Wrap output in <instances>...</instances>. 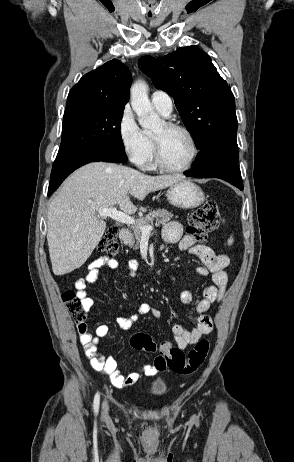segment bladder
Here are the masks:
<instances>
[{
  "label": "bladder",
  "instance_id": "bladder-1",
  "mask_svg": "<svg viewBox=\"0 0 294 462\" xmlns=\"http://www.w3.org/2000/svg\"><path fill=\"white\" fill-rule=\"evenodd\" d=\"M168 390V383L164 379H157L151 383L150 393L155 396L164 395Z\"/></svg>",
  "mask_w": 294,
  "mask_h": 462
}]
</instances>
